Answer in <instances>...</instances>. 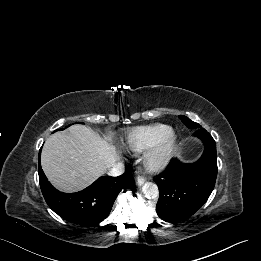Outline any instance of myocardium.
<instances>
[{
    "label": "myocardium",
    "mask_w": 261,
    "mask_h": 261,
    "mask_svg": "<svg viewBox=\"0 0 261 261\" xmlns=\"http://www.w3.org/2000/svg\"><path fill=\"white\" fill-rule=\"evenodd\" d=\"M176 148L177 138L175 134L173 132L166 134L145 153V167L154 172L163 170L173 158Z\"/></svg>",
    "instance_id": "f54148a6"
}]
</instances>
